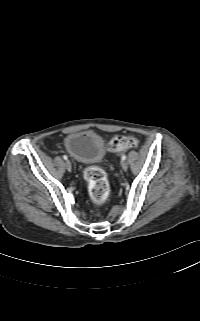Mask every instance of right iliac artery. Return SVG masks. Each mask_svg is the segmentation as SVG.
<instances>
[{"label":"right iliac artery","instance_id":"82829eb1","mask_svg":"<svg viewBox=\"0 0 200 321\" xmlns=\"http://www.w3.org/2000/svg\"><path fill=\"white\" fill-rule=\"evenodd\" d=\"M63 158H64V160H67V156L66 155H64Z\"/></svg>","mask_w":200,"mask_h":321}]
</instances>
